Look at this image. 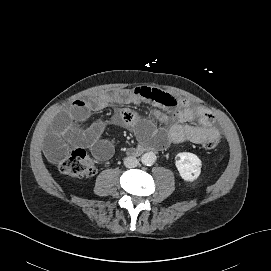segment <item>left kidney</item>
I'll return each instance as SVG.
<instances>
[{
    "label": "left kidney",
    "mask_w": 271,
    "mask_h": 271,
    "mask_svg": "<svg viewBox=\"0 0 271 271\" xmlns=\"http://www.w3.org/2000/svg\"><path fill=\"white\" fill-rule=\"evenodd\" d=\"M175 165L180 176L185 181L193 182L201 173V160L193 153H178L175 157Z\"/></svg>",
    "instance_id": "obj_1"
}]
</instances>
